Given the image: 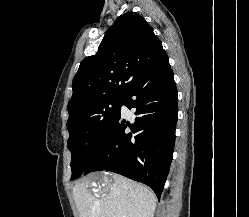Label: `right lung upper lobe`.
I'll use <instances>...</instances> for the list:
<instances>
[{
  "instance_id": "1",
  "label": "right lung upper lobe",
  "mask_w": 249,
  "mask_h": 217,
  "mask_svg": "<svg viewBox=\"0 0 249 217\" xmlns=\"http://www.w3.org/2000/svg\"><path fill=\"white\" fill-rule=\"evenodd\" d=\"M161 41L140 15H121L95 55L82 60L72 82L68 112L97 100L125 97L164 54Z\"/></svg>"
}]
</instances>
